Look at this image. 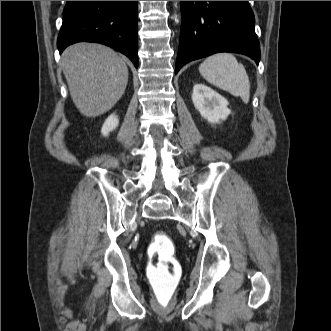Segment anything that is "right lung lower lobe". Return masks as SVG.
I'll return each instance as SVG.
<instances>
[{"mask_svg":"<svg viewBox=\"0 0 331 331\" xmlns=\"http://www.w3.org/2000/svg\"><path fill=\"white\" fill-rule=\"evenodd\" d=\"M63 15L60 53L80 41L102 43L138 67L137 1H67Z\"/></svg>","mask_w":331,"mask_h":331,"instance_id":"right-lung-lower-lobe-1","label":"right lung lower lobe"}]
</instances>
